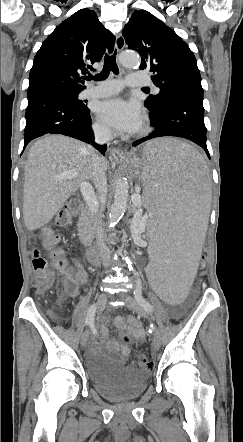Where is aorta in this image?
Returning a JSON list of instances; mask_svg holds the SVG:
<instances>
[{"label":"aorta","mask_w":243,"mask_h":442,"mask_svg":"<svg viewBox=\"0 0 243 442\" xmlns=\"http://www.w3.org/2000/svg\"><path fill=\"white\" fill-rule=\"evenodd\" d=\"M120 63L124 68H136L139 66V57L134 53L124 52L120 56ZM128 182L123 176H117L114 187V201L109 210L106 227L110 230L124 215L128 204Z\"/></svg>","instance_id":"762f6f07"}]
</instances>
